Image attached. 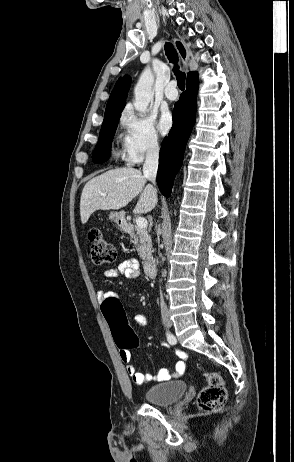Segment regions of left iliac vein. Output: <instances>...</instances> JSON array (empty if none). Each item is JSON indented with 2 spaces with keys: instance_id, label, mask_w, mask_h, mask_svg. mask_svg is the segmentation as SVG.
Masks as SVG:
<instances>
[{
  "instance_id": "left-iliac-vein-1",
  "label": "left iliac vein",
  "mask_w": 294,
  "mask_h": 462,
  "mask_svg": "<svg viewBox=\"0 0 294 462\" xmlns=\"http://www.w3.org/2000/svg\"><path fill=\"white\" fill-rule=\"evenodd\" d=\"M168 326H171V322L168 320Z\"/></svg>"
}]
</instances>
